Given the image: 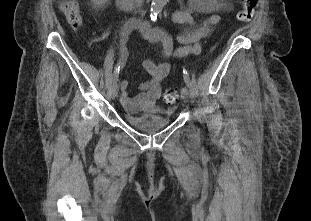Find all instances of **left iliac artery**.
I'll return each instance as SVG.
<instances>
[{
    "instance_id": "left-iliac-artery-1",
    "label": "left iliac artery",
    "mask_w": 311,
    "mask_h": 221,
    "mask_svg": "<svg viewBox=\"0 0 311 221\" xmlns=\"http://www.w3.org/2000/svg\"><path fill=\"white\" fill-rule=\"evenodd\" d=\"M183 76H184V81H185L186 85L189 87L190 86V78H189L188 72L185 69H183Z\"/></svg>"
}]
</instances>
